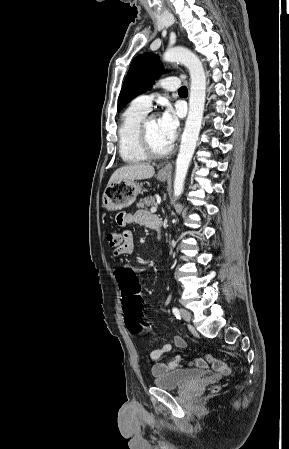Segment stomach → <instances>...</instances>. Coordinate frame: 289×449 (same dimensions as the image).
Returning <instances> with one entry per match:
<instances>
[{"instance_id": "stomach-1", "label": "stomach", "mask_w": 289, "mask_h": 449, "mask_svg": "<svg viewBox=\"0 0 289 449\" xmlns=\"http://www.w3.org/2000/svg\"><path fill=\"white\" fill-rule=\"evenodd\" d=\"M167 174L158 173L159 181H166ZM142 193V183L134 180H119L107 185L103 197L102 204L108 211L121 210L131 206L138 194Z\"/></svg>"}]
</instances>
